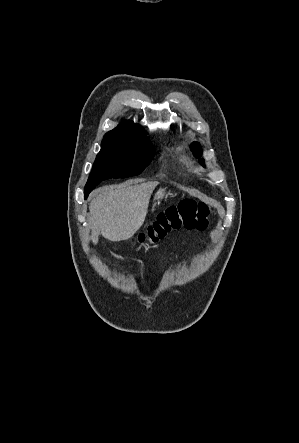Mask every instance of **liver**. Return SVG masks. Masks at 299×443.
<instances>
[{"label":"liver","mask_w":299,"mask_h":443,"mask_svg":"<svg viewBox=\"0 0 299 443\" xmlns=\"http://www.w3.org/2000/svg\"><path fill=\"white\" fill-rule=\"evenodd\" d=\"M157 185L158 182H146L97 190L89 205L93 243H98L99 234L110 241L133 237L145 221L149 200Z\"/></svg>","instance_id":"liver-1"}]
</instances>
